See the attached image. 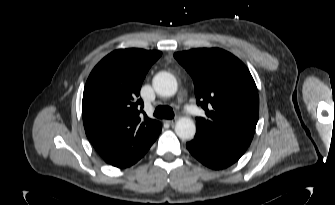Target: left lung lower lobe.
<instances>
[{
  "label": "left lung lower lobe",
  "mask_w": 335,
  "mask_h": 205,
  "mask_svg": "<svg viewBox=\"0 0 335 205\" xmlns=\"http://www.w3.org/2000/svg\"><path fill=\"white\" fill-rule=\"evenodd\" d=\"M186 147L202 164L212 169H223L235 163L248 146L230 143L196 131L194 140Z\"/></svg>",
  "instance_id": "1"
}]
</instances>
